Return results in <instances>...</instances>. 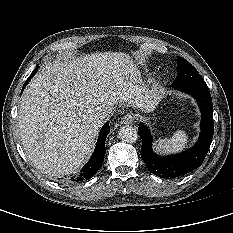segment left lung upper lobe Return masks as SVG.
Here are the masks:
<instances>
[{"mask_svg":"<svg viewBox=\"0 0 233 233\" xmlns=\"http://www.w3.org/2000/svg\"><path fill=\"white\" fill-rule=\"evenodd\" d=\"M178 74L171 87L188 84H206L197 70L184 58H177Z\"/></svg>","mask_w":233,"mask_h":233,"instance_id":"obj_1","label":"left lung upper lobe"}]
</instances>
